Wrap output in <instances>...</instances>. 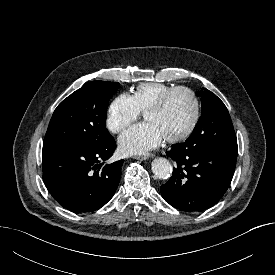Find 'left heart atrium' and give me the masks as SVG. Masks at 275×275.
<instances>
[{
    "label": "left heart atrium",
    "mask_w": 275,
    "mask_h": 275,
    "mask_svg": "<svg viewBox=\"0 0 275 275\" xmlns=\"http://www.w3.org/2000/svg\"><path fill=\"white\" fill-rule=\"evenodd\" d=\"M164 137L153 123L134 125L119 137V148L124 154H145L159 146Z\"/></svg>",
    "instance_id": "obj_1"
}]
</instances>
